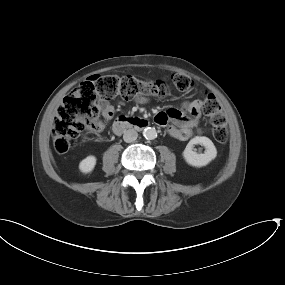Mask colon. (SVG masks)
Wrapping results in <instances>:
<instances>
[{
    "instance_id": "1",
    "label": "colon",
    "mask_w": 285,
    "mask_h": 285,
    "mask_svg": "<svg viewBox=\"0 0 285 285\" xmlns=\"http://www.w3.org/2000/svg\"><path fill=\"white\" fill-rule=\"evenodd\" d=\"M172 82L178 91H187L191 79L184 74H174ZM167 88L161 81H142L131 75H96L75 87L64 99L58 110L53 128V145L56 152L63 154L73 148L88 120L98 117L97 99L122 96H165ZM202 110L210 118L211 135L219 143L228 139L226 117L217 98L205 93L201 99ZM155 124L164 126L168 117L160 112L153 118Z\"/></svg>"
}]
</instances>
